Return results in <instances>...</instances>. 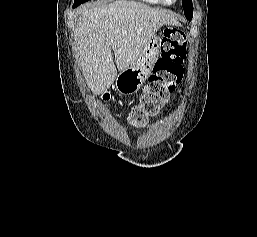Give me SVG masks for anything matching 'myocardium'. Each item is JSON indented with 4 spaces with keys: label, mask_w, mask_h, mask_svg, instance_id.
I'll list each match as a JSON object with an SVG mask.
<instances>
[{
    "label": "myocardium",
    "mask_w": 257,
    "mask_h": 237,
    "mask_svg": "<svg viewBox=\"0 0 257 237\" xmlns=\"http://www.w3.org/2000/svg\"><path fill=\"white\" fill-rule=\"evenodd\" d=\"M177 0H172V1H168V0H162V2L166 5H172L174 3H176Z\"/></svg>",
    "instance_id": "myocardium-1"
}]
</instances>
